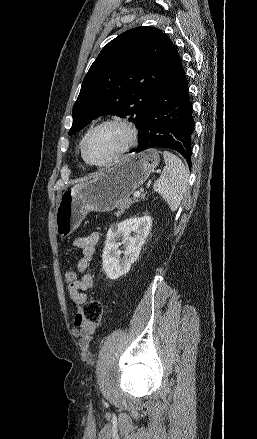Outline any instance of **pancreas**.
Returning a JSON list of instances; mask_svg holds the SVG:
<instances>
[{"instance_id": "obj_1", "label": "pancreas", "mask_w": 257, "mask_h": 439, "mask_svg": "<svg viewBox=\"0 0 257 439\" xmlns=\"http://www.w3.org/2000/svg\"><path fill=\"white\" fill-rule=\"evenodd\" d=\"M139 198L144 199V198H145V195H141V196H139V197H134L133 200H132V199H127L126 201H124V202L118 207V211H116V212L114 213L115 216L120 217V216L125 212V210L128 209V208L131 206V204H133V202H137Z\"/></svg>"}]
</instances>
